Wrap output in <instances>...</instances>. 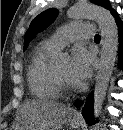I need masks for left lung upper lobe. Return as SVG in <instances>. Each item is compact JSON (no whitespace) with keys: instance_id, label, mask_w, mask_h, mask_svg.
Masks as SVG:
<instances>
[{"instance_id":"left-lung-upper-lobe-1","label":"left lung upper lobe","mask_w":123,"mask_h":130,"mask_svg":"<svg viewBox=\"0 0 123 130\" xmlns=\"http://www.w3.org/2000/svg\"><path fill=\"white\" fill-rule=\"evenodd\" d=\"M91 2L103 6L106 9H110L111 12L114 11L111 8L108 0H91ZM57 15H58V11L55 8H50L40 13L32 20L30 27L24 36V49L27 47L29 41L37 33L44 30L48 25H50L54 21Z\"/></svg>"}]
</instances>
